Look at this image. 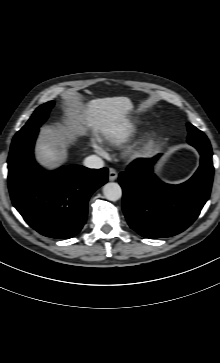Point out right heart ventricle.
Listing matches in <instances>:
<instances>
[{
    "instance_id": "obj_1",
    "label": "right heart ventricle",
    "mask_w": 220,
    "mask_h": 363,
    "mask_svg": "<svg viewBox=\"0 0 220 363\" xmlns=\"http://www.w3.org/2000/svg\"><path fill=\"white\" fill-rule=\"evenodd\" d=\"M140 123L132 118H121L110 123L103 131V138L110 144L122 145L139 130Z\"/></svg>"
}]
</instances>
